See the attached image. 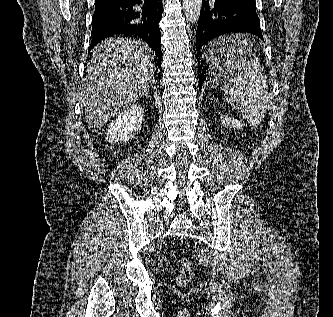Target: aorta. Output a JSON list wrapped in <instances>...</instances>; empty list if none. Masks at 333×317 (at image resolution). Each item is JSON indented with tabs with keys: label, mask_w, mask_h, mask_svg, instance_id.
<instances>
[{
	"label": "aorta",
	"mask_w": 333,
	"mask_h": 317,
	"mask_svg": "<svg viewBox=\"0 0 333 317\" xmlns=\"http://www.w3.org/2000/svg\"><path fill=\"white\" fill-rule=\"evenodd\" d=\"M202 7V0H183V8L186 19L196 23L199 19Z\"/></svg>",
	"instance_id": "762f6f07"
}]
</instances>
